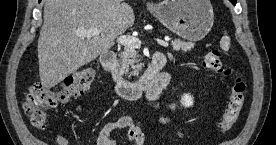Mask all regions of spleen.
I'll return each mask as SVG.
<instances>
[{
	"label": "spleen",
	"mask_w": 276,
	"mask_h": 145,
	"mask_svg": "<svg viewBox=\"0 0 276 145\" xmlns=\"http://www.w3.org/2000/svg\"><path fill=\"white\" fill-rule=\"evenodd\" d=\"M220 46L224 51H228L230 47V38L225 32V35L220 40Z\"/></svg>",
	"instance_id": "1"
}]
</instances>
